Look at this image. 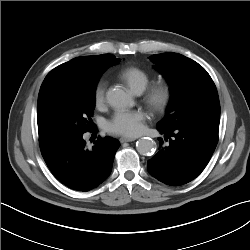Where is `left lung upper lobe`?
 I'll use <instances>...</instances> for the list:
<instances>
[{"label":"left lung upper lobe","mask_w":250,"mask_h":250,"mask_svg":"<svg viewBox=\"0 0 250 250\" xmlns=\"http://www.w3.org/2000/svg\"><path fill=\"white\" fill-rule=\"evenodd\" d=\"M171 91L165 117L157 127L174 130L187 123L220 118L216 86L208 72L194 60L177 53L151 56Z\"/></svg>","instance_id":"1"}]
</instances>
